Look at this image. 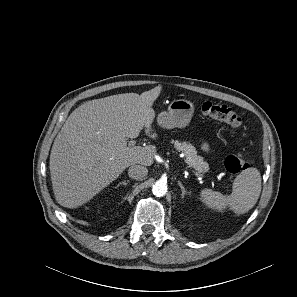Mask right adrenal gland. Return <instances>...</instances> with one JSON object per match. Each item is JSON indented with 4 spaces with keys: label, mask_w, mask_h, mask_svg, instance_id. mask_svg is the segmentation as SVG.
<instances>
[{
    "label": "right adrenal gland",
    "mask_w": 297,
    "mask_h": 297,
    "mask_svg": "<svg viewBox=\"0 0 297 297\" xmlns=\"http://www.w3.org/2000/svg\"><path fill=\"white\" fill-rule=\"evenodd\" d=\"M128 183H130L129 180H127V181L124 180V181L120 182V183L117 185V187H119V186L122 185V184H123L124 186H127Z\"/></svg>",
    "instance_id": "right-adrenal-gland-1"
}]
</instances>
